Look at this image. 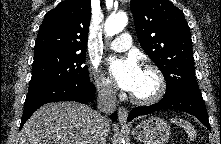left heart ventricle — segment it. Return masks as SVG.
Returning a JSON list of instances; mask_svg holds the SVG:
<instances>
[{"label":"left heart ventricle","instance_id":"1","mask_svg":"<svg viewBox=\"0 0 221 144\" xmlns=\"http://www.w3.org/2000/svg\"><path fill=\"white\" fill-rule=\"evenodd\" d=\"M156 88L157 81L154 74L142 70L138 85L132 93L138 97H148L155 92Z\"/></svg>","mask_w":221,"mask_h":144}]
</instances>
